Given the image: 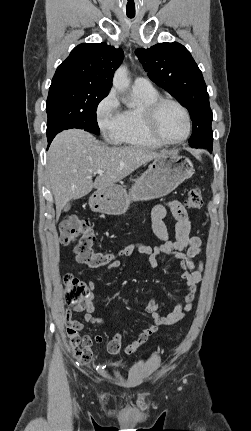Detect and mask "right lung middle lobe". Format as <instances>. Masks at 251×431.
Listing matches in <instances>:
<instances>
[{
  "mask_svg": "<svg viewBox=\"0 0 251 431\" xmlns=\"http://www.w3.org/2000/svg\"><path fill=\"white\" fill-rule=\"evenodd\" d=\"M109 90L99 89L70 79L52 81L46 102L47 135L70 128L100 133L96 110Z\"/></svg>",
  "mask_w": 251,
  "mask_h": 431,
  "instance_id": "1",
  "label": "right lung middle lobe"
}]
</instances>
